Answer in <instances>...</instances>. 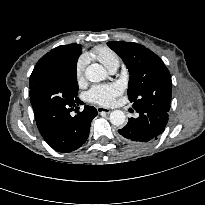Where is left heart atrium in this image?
<instances>
[{
  "mask_svg": "<svg viewBox=\"0 0 205 205\" xmlns=\"http://www.w3.org/2000/svg\"><path fill=\"white\" fill-rule=\"evenodd\" d=\"M121 92L122 88L118 84L95 85L87 92V99L98 105L111 106Z\"/></svg>",
  "mask_w": 205,
  "mask_h": 205,
  "instance_id": "left-heart-atrium-1",
  "label": "left heart atrium"
}]
</instances>
